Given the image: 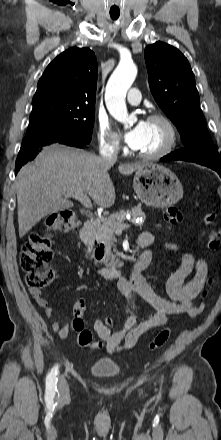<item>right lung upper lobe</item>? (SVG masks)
Returning a JSON list of instances; mask_svg holds the SVG:
<instances>
[{"label": "right lung upper lobe", "instance_id": "1", "mask_svg": "<svg viewBox=\"0 0 221 440\" xmlns=\"http://www.w3.org/2000/svg\"><path fill=\"white\" fill-rule=\"evenodd\" d=\"M97 60L89 48L72 47L52 61L40 78L33 103L95 104Z\"/></svg>", "mask_w": 221, "mask_h": 440}]
</instances>
